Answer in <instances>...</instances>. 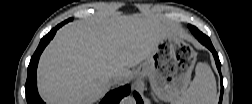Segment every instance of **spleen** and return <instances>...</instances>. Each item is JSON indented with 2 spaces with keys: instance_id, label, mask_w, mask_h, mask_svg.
Masks as SVG:
<instances>
[{
  "instance_id": "obj_1",
  "label": "spleen",
  "mask_w": 252,
  "mask_h": 104,
  "mask_svg": "<svg viewBox=\"0 0 252 104\" xmlns=\"http://www.w3.org/2000/svg\"><path fill=\"white\" fill-rule=\"evenodd\" d=\"M216 80L206 63H198L195 77L186 91L176 100L177 104H213L217 101Z\"/></svg>"
}]
</instances>
